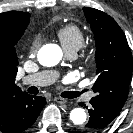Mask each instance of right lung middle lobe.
<instances>
[{
	"label": "right lung middle lobe",
	"mask_w": 133,
	"mask_h": 133,
	"mask_svg": "<svg viewBox=\"0 0 133 133\" xmlns=\"http://www.w3.org/2000/svg\"><path fill=\"white\" fill-rule=\"evenodd\" d=\"M17 39H10L8 41L0 40V66L10 65L17 62V55L14 46Z\"/></svg>",
	"instance_id": "dd1d6c3e"
}]
</instances>
